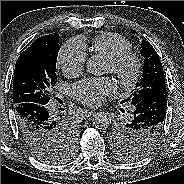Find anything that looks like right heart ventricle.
<instances>
[{
    "instance_id": "e07e8e85",
    "label": "right heart ventricle",
    "mask_w": 184,
    "mask_h": 184,
    "mask_svg": "<svg viewBox=\"0 0 184 184\" xmlns=\"http://www.w3.org/2000/svg\"><path fill=\"white\" fill-rule=\"evenodd\" d=\"M91 48L96 55L108 61L130 51L131 43L118 34L103 33L93 39Z\"/></svg>"
}]
</instances>
